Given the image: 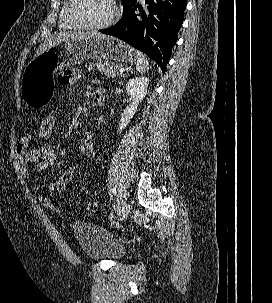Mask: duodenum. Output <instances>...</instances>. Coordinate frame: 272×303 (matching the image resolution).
Returning a JSON list of instances; mask_svg holds the SVG:
<instances>
[{
	"label": "duodenum",
	"mask_w": 272,
	"mask_h": 303,
	"mask_svg": "<svg viewBox=\"0 0 272 303\" xmlns=\"http://www.w3.org/2000/svg\"><path fill=\"white\" fill-rule=\"evenodd\" d=\"M105 101V93L102 90H99L95 93V103L97 106H102Z\"/></svg>",
	"instance_id": "410a0bca"
}]
</instances>
